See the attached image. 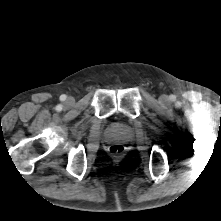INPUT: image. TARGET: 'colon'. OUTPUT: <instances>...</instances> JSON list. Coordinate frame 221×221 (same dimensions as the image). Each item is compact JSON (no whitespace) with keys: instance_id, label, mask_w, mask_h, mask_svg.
Wrapping results in <instances>:
<instances>
[{"instance_id":"5ec220e1","label":"colon","mask_w":221,"mask_h":221,"mask_svg":"<svg viewBox=\"0 0 221 221\" xmlns=\"http://www.w3.org/2000/svg\"><path fill=\"white\" fill-rule=\"evenodd\" d=\"M109 152L112 155H120L124 152V147L121 144H113L110 148H109Z\"/></svg>"}]
</instances>
